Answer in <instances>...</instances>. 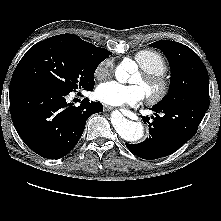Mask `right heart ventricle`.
Listing matches in <instances>:
<instances>
[{"instance_id": "1", "label": "right heart ventricle", "mask_w": 221, "mask_h": 221, "mask_svg": "<svg viewBox=\"0 0 221 221\" xmlns=\"http://www.w3.org/2000/svg\"><path fill=\"white\" fill-rule=\"evenodd\" d=\"M135 61L142 70L162 74L167 70V64L161 54L156 51L144 49L135 53Z\"/></svg>"}]
</instances>
